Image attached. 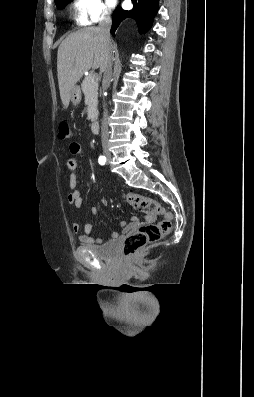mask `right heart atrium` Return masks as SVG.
<instances>
[{"mask_svg": "<svg viewBox=\"0 0 254 397\" xmlns=\"http://www.w3.org/2000/svg\"><path fill=\"white\" fill-rule=\"evenodd\" d=\"M74 9L79 26L92 25L109 16V9L103 0H75Z\"/></svg>", "mask_w": 254, "mask_h": 397, "instance_id": "right-heart-atrium-1", "label": "right heart atrium"}]
</instances>
